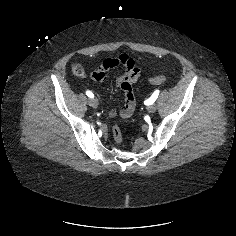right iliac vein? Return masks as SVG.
I'll list each match as a JSON object with an SVG mask.
<instances>
[{
    "label": "right iliac vein",
    "instance_id": "63e3f726",
    "mask_svg": "<svg viewBox=\"0 0 236 236\" xmlns=\"http://www.w3.org/2000/svg\"><path fill=\"white\" fill-rule=\"evenodd\" d=\"M88 104L92 107V108H97L98 107V101L95 98H90L88 100Z\"/></svg>",
    "mask_w": 236,
    "mask_h": 236
}]
</instances>
